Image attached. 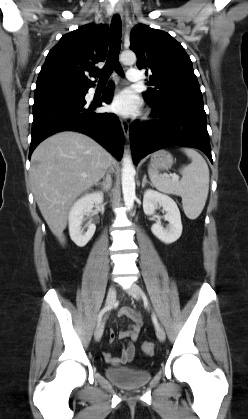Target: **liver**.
Returning a JSON list of instances; mask_svg holds the SVG:
<instances>
[{"mask_svg":"<svg viewBox=\"0 0 248 419\" xmlns=\"http://www.w3.org/2000/svg\"><path fill=\"white\" fill-rule=\"evenodd\" d=\"M31 162L34 198L51 232L64 243L70 207L104 176L115 160L89 136L66 131L41 142Z\"/></svg>","mask_w":248,"mask_h":419,"instance_id":"obj_1","label":"liver"}]
</instances>
